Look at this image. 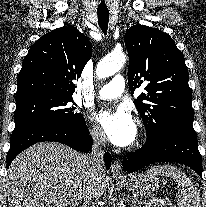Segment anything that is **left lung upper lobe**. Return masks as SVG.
Listing matches in <instances>:
<instances>
[{
  "instance_id": "1",
  "label": "left lung upper lobe",
  "mask_w": 206,
  "mask_h": 207,
  "mask_svg": "<svg viewBox=\"0 0 206 207\" xmlns=\"http://www.w3.org/2000/svg\"><path fill=\"white\" fill-rule=\"evenodd\" d=\"M128 49V83L131 92L146 85V93L135 100L148 141L172 125L192 124L194 113L189 75L184 56L172 38L140 24L125 33Z\"/></svg>"
}]
</instances>
